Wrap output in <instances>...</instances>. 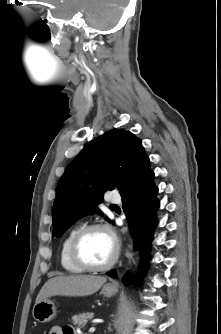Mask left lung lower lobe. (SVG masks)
I'll list each match as a JSON object with an SVG mask.
<instances>
[{"label": "left lung lower lobe", "instance_id": "left-lung-lower-lobe-1", "mask_svg": "<svg viewBox=\"0 0 221 334\" xmlns=\"http://www.w3.org/2000/svg\"><path fill=\"white\" fill-rule=\"evenodd\" d=\"M153 179L154 172L150 169L148 163L121 193L123 209L127 215L131 234L135 241L141 243V274L144 272L147 263L153 228L157 224L155 211L159 207V202L155 197L158 188L155 186ZM108 276L116 278V271H109Z\"/></svg>", "mask_w": 221, "mask_h": 334}]
</instances>
